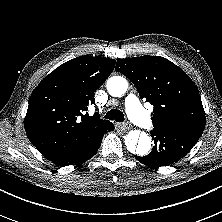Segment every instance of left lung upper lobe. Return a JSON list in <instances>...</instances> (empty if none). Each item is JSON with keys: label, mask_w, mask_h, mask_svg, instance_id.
<instances>
[{"label": "left lung upper lobe", "mask_w": 222, "mask_h": 222, "mask_svg": "<svg viewBox=\"0 0 222 222\" xmlns=\"http://www.w3.org/2000/svg\"><path fill=\"white\" fill-rule=\"evenodd\" d=\"M116 71L127 76L141 98L154 106V127L174 128L202 135L205 112L200 94L190 77L160 56L120 59Z\"/></svg>", "instance_id": "5c2ea615"}]
</instances>
